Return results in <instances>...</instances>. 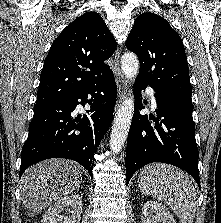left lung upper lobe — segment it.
Masks as SVG:
<instances>
[{"instance_id": "1", "label": "left lung upper lobe", "mask_w": 221, "mask_h": 223, "mask_svg": "<svg viewBox=\"0 0 221 223\" xmlns=\"http://www.w3.org/2000/svg\"><path fill=\"white\" fill-rule=\"evenodd\" d=\"M126 47L139 58L136 80L155 92L192 103L183 42L168 21L150 12L140 14L128 35Z\"/></svg>"}]
</instances>
